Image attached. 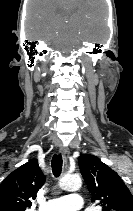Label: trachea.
<instances>
[{"instance_id":"1","label":"trachea","mask_w":133,"mask_h":211,"mask_svg":"<svg viewBox=\"0 0 133 211\" xmlns=\"http://www.w3.org/2000/svg\"><path fill=\"white\" fill-rule=\"evenodd\" d=\"M62 170V156L61 154H55L52 158V172L55 177L61 174Z\"/></svg>"}]
</instances>
